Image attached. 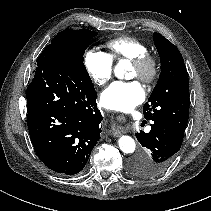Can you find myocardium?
<instances>
[{
  "label": "myocardium",
  "mask_w": 211,
  "mask_h": 211,
  "mask_svg": "<svg viewBox=\"0 0 211 211\" xmlns=\"http://www.w3.org/2000/svg\"><path fill=\"white\" fill-rule=\"evenodd\" d=\"M137 70V77L146 84H152L158 77L160 66L156 56L145 53L131 60Z\"/></svg>",
  "instance_id": "1"
}]
</instances>
